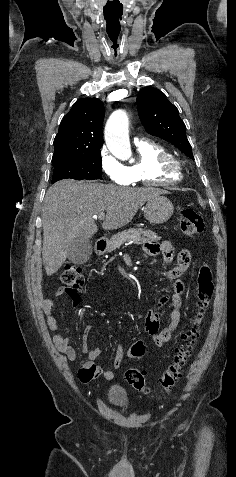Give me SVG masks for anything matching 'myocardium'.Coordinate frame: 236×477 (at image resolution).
I'll return each instance as SVG.
<instances>
[{"label": "myocardium", "instance_id": "f54148a6", "mask_svg": "<svg viewBox=\"0 0 236 477\" xmlns=\"http://www.w3.org/2000/svg\"><path fill=\"white\" fill-rule=\"evenodd\" d=\"M158 171L165 176L180 173L181 163L173 157L170 159H163L159 163Z\"/></svg>", "mask_w": 236, "mask_h": 477}]
</instances>
